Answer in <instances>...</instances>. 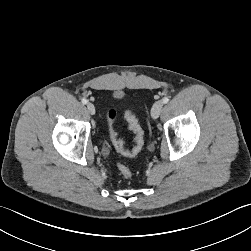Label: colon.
Instances as JSON below:
<instances>
[{
	"mask_svg": "<svg viewBox=\"0 0 251 251\" xmlns=\"http://www.w3.org/2000/svg\"><path fill=\"white\" fill-rule=\"evenodd\" d=\"M116 117V111L111 109L108 111L107 118L108 122L111 126L110 128V135L113 142V145L115 146L116 150L120 153H122L125 156H135L140 152V150L143 147L144 143V132L137 120V118L129 111L125 113V119L128 122L129 128L134 134V145L131 149H128L124 146L122 140L118 137L116 131L113 129L112 125ZM117 168L120 172V174L125 179H130L133 175L131 169L126 166L125 164L118 162Z\"/></svg>",
	"mask_w": 251,
	"mask_h": 251,
	"instance_id": "colon-1",
	"label": "colon"
}]
</instances>
